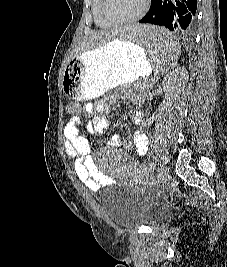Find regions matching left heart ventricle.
<instances>
[{
    "label": "left heart ventricle",
    "instance_id": "obj_1",
    "mask_svg": "<svg viewBox=\"0 0 227 267\" xmlns=\"http://www.w3.org/2000/svg\"><path fill=\"white\" fill-rule=\"evenodd\" d=\"M143 0H107V12L114 19H126L136 15Z\"/></svg>",
    "mask_w": 227,
    "mask_h": 267
}]
</instances>
